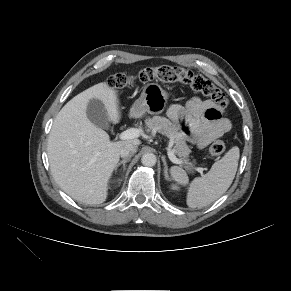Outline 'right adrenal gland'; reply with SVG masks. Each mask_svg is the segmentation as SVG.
<instances>
[{
    "instance_id": "right-adrenal-gland-1",
    "label": "right adrenal gland",
    "mask_w": 291,
    "mask_h": 291,
    "mask_svg": "<svg viewBox=\"0 0 291 291\" xmlns=\"http://www.w3.org/2000/svg\"><path fill=\"white\" fill-rule=\"evenodd\" d=\"M129 161H130V158H127V159H124V160L120 161V162L116 165V167H115L116 172H117L118 167L121 166V165H123V170L125 171V169H126L125 164H126L127 162H129ZM121 181H122V180H121Z\"/></svg>"
}]
</instances>
